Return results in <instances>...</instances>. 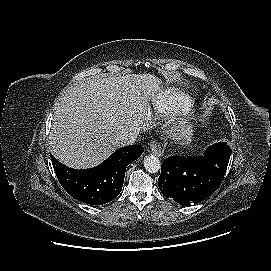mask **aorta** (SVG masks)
Listing matches in <instances>:
<instances>
[{
	"label": "aorta",
	"mask_w": 271,
	"mask_h": 271,
	"mask_svg": "<svg viewBox=\"0 0 271 271\" xmlns=\"http://www.w3.org/2000/svg\"><path fill=\"white\" fill-rule=\"evenodd\" d=\"M144 167L149 173L158 172L161 167L159 158L155 155L146 156L144 159Z\"/></svg>",
	"instance_id": "aorta-1"
}]
</instances>
